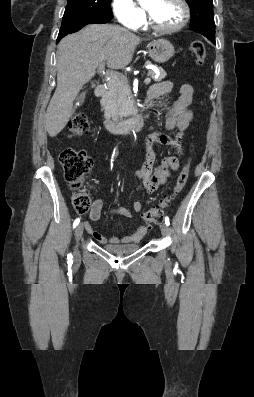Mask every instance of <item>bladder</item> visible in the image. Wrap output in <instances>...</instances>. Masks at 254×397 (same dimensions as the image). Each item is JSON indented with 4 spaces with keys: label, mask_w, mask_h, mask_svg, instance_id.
I'll return each instance as SVG.
<instances>
[{
    "label": "bladder",
    "mask_w": 254,
    "mask_h": 397,
    "mask_svg": "<svg viewBox=\"0 0 254 397\" xmlns=\"http://www.w3.org/2000/svg\"><path fill=\"white\" fill-rule=\"evenodd\" d=\"M140 249L139 244H130V245H117V246H105L104 250L114 255H127L133 252H136Z\"/></svg>",
    "instance_id": "31cf9c89"
}]
</instances>
